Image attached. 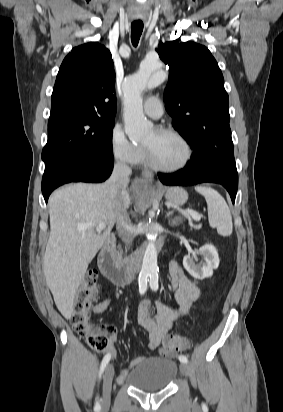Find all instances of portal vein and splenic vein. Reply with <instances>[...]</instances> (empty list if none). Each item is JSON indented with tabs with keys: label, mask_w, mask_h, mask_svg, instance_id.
Segmentation results:
<instances>
[{
	"label": "portal vein and splenic vein",
	"mask_w": 283,
	"mask_h": 412,
	"mask_svg": "<svg viewBox=\"0 0 283 412\" xmlns=\"http://www.w3.org/2000/svg\"><path fill=\"white\" fill-rule=\"evenodd\" d=\"M184 213L187 214V215H189L192 219H194V220H196V221H200V219H201V216H200L197 212H195V211H193V210H191V209H186V210H184ZM169 214H171V213H169ZM169 214H168V215H169ZM93 226H95L94 223H86V224H81V225L79 226V228H80V229H86V228H88V227H93ZM105 227H106V225H105L104 223H99V224L97 225L96 229H97V231H101V230H103Z\"/></svg>",
	"instance_id": "1"
}]
</instances>
